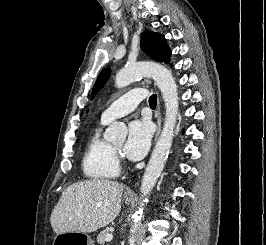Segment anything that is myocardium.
<instances>
[{
    "instance_id": "myocardium-1",
    "label": "myocardium",
    "mask_w": 266,
    "mask_h": 245,
    "mask_svg": "<svg viewBox=\"0 0 266 245\" xmlns=\"http://www.w3.org/2000/svg\"><path fill=\"white\" fill-rule=\"evenodd\" d=\"M112 148H113V147H112ZM113 151H114V153H115V155H116V158H117V156H118V149L113 148Z\"/></svg>"
}]
</instances>
